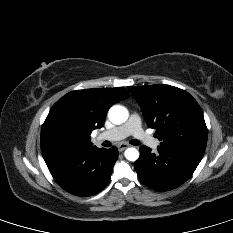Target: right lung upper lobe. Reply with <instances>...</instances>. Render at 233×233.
<instances>
[{
    "mask_svg": "<svg viewBox=\"0 0 233 233\" xmlns=\"http://www.w3.org/2000/svg\"><path fill=\"white\" fill-rule=\"evenodd\" d=\"M129 96L120 87L71 91L53 105L44 123L57 121L72 127L77 134L73 149H89L91 132L103 127L110 106Z\"/></svg>",
    "mask_w": 233,
    "mask_h": 233,
    "instance_id": "obj_1",
    "label": "right lung upper lobe"
}]
</instances>
